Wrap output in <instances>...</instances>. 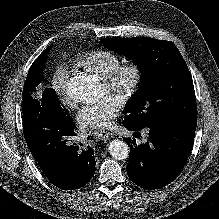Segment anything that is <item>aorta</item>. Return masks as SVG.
Wrapping results in <instances>:
<instances>
[{
	"label": "aorta",
	"instance_id": "aorta-1",
	"mask_svg": "<svg viewBox=\"0 0 219 219\" xmlns=\"http://www.w3.org/2000/svg\"><path fill=\"white\" fill-rule=\"evenodd\" d=\"M67 93L78 102L93 101L97 98V81L90 76L73 77L68 83ZM108 151L113 158L124 160L129 156L130 148L126 142L115 139L109 143Z\"/></svg>",
	"mask_w": 219,
	"mask_h": 219
}]
</instances>
